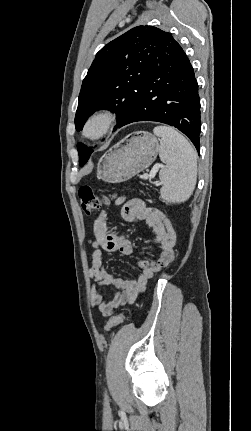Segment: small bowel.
Returning <instances> with one entry per match:
<instances>
[{
    "label": "small bowel",
    "instance_id": "c3829d8e",
    "mask_svg": "<svg viewBox=\"0 0 251 431\" xmlns=\"http://www.w3.org/2000/svg\"><path fill=\"white\" fill-rule=\"evenodd\" d=\"M116 204L122 206L120 212L122 221L142 220L152 229L159 252L154 261L139 262L138 274L132 279L111 275L104 265V253L118 251L124 255H130L133 249L127 237L107 232L106 213L101 212L93 223L95 239L92 243L89 275L94 281L91 304L97 307L103 316H109L117 308L136 301L145 290L148 281L173 261L176 242V233L171 222L159 210L146 206L144 201L138 198L129 200L119 198ZM98 286H113L116 292L111 298L105 299L98 291Z\"/></svg>",
    "mask_w": 251,
    "mask_h": 431
}]
</instances>
